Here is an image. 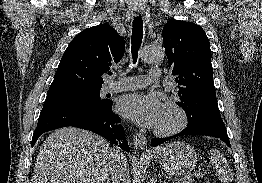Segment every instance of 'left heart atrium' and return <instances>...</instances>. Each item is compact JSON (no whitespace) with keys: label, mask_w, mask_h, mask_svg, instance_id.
I'll return each instance as SVG.
<instances>
[{"label":"left heart atrium","mask_w":262,"mask_h":183,"mask_svg":"<svg viewBox=\"0 0 262 183\" xmlns=\"http://www.w3.org/2000/svg\"><path fill=\"white\" fill-rule=\"evenodd\" d=\"M164 106L156 95L132 93L123 96L118 103L119 112L135 124L145 128H156Z\"/></svg>","instance_id":"39dd6f15"}]
</instances>
